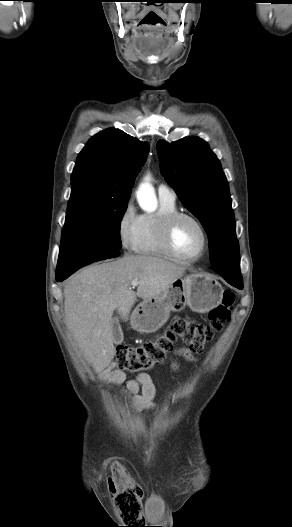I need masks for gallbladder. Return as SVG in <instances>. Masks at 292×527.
Masks as SVG:
<instances>
[{
	"label": "gallbladder",
	"mask_w": 292,
	"mask_h": 527,
	"mask_svg": "<svg viewBox=\"0 0 292 527\" xmlns=\"http://www.w3.org/2000/svg\"><path fill=\"white\" fill-rule=\"evenodd\" d=\"M112 336L113 342L116 345L121 344L124 340L123 332L117 318L112 319Z\"/></svg>",
	"instance_id": "1"
}]
</instances>
